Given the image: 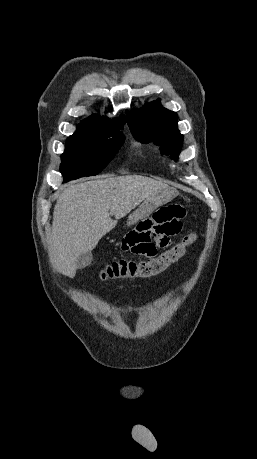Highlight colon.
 Here are the masks:
<instances>
[{"label": "colon", "instance_id": "obj_1", "mask_svg": "<svg viewBox=\"0 0 257 459\" xmlns=\"http://www.w3.org/2000/svg\"><path fill=\"white\" fill-rule=\"evenodd\" d=\"M195 240V234H189L181 242L168 247L166 251L157 254L156 258H151L150 260L136 261L121 259L114 261L102 269L100 276L104 280L119 278L130 280L154 278L182 259Z\"/></svg>", "mask_w": 257, "mask_h": 459}]
</instances>
